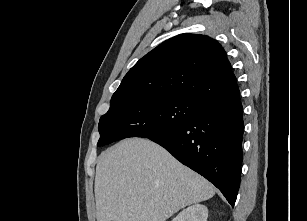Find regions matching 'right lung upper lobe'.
Segmentation results:
<instances>
[{"label":"right lung upper lobe","instance_id":"cb5924a9","mask_svg":"<svg viewBox=\"0 0 307 221\" xmlns=\"http://www.w3.org/2000/svg\"><path fill=\"white\" fill-rule=\"evenodd\" d=\"M239 94L221 45L214 39L180 34L150 51L125 75L111 103L139 96L184 99L201 106Z\"/></svg>","mask_w":307,"mask_h":221}]
</instances>
